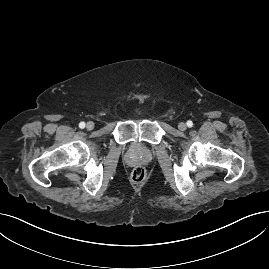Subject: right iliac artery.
I'll return each mask as SVG.
<instances>
[{
	"mask_svg": "<svg viewBox=\"0 0 269 269\" xmlns=\"http://www.w3.org/2000/svg\"><path fill=\"white\" fill-rule=\"evenodd\" d=\"M79 127H80L81 129H83V128L85 127V122H80V123H79Z\"/></svg>",
	"mask_w": 269,
	"mask_h": 269,
	"instance_id": "right-iliac-artery-1",
	"label": "right iliac artery"
}]
</instances>
